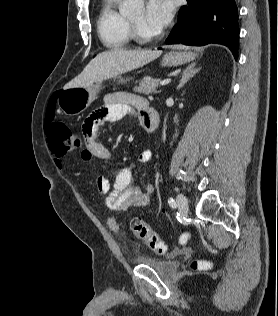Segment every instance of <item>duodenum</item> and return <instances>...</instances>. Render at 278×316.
Listing matches in <instances>:
<instances>
[{"label":"duodenum","instance_id":"410a0bca","mask_svg":"<svg viewBox=\"0 0 278 316\" xmlns=\"http://www.w3.org/2000/svg\"><path fill=\"white\" fill-rule=\"evenodd\" d=\"M160 123L159 113L151 107H148L142 115V127L146 132H154Z\"/></svg>","mask_w":278,"mask_h":316}]
</instances>
